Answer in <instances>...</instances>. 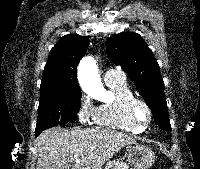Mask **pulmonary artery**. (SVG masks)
<instances>
[{"label": "pulmonary artery", "instance_id": "pulmonary-artery-1", "mask_svg": "<svg viewBox=\"0 0 200 169\" xmlns=\"http://www.w3.org/2000/svg\"><path fill=\"white\" fill-rule=\"evenodd\" d=\"M118 78H124L123 73H121L120 71H116V70H107L104 73V80L105 81H109V80H113V79H118Z\"/></svg>", "mask_w": 200, "mask_h": 169}]
</instances>
